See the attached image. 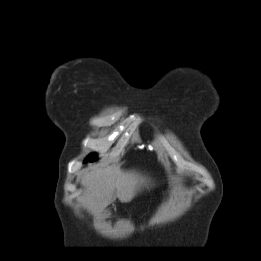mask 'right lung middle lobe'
<instances>
[{
  "instance_id": "obj_1",
  "label": "right lung middle lobe",
  "mask_w": 261,
  "mask_h": 261,
  "mask_svg": "<svg viewBox=\"0 0 261 261\" xmlns=\"http://www.w3.org/2000/svg\"><path fill=\"white\" fill-rule=\"evenodd\" d=\"M95 160H96V156L94 154H92L86 158L85 162H88V161L92 162Z\"/></svg>"
}]
</instances>
